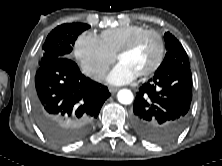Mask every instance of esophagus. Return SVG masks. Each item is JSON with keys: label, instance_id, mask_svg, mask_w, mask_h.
I'll return each instance as SVG.
<instances>
[{"label": "esophagus", "instance_id": "obj_1", "mask_svg": "<svg viewBox=\"0 0 222 166\" xmlns=\"http://www.w3.org/2000/svg\"><path fill=\"white\" fill-rule=\"evenodd\" d=\"M118 90H119V88H114V87L109 88V91H110L111 94L116 93Z\"/></svg>", "mask_w": 222, "mask_h": 166}]
</instances>
